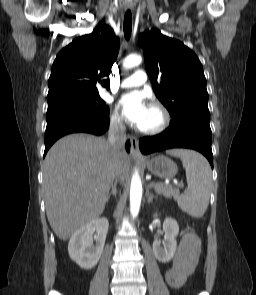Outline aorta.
<instances>
[{
	"mask_svg": "<svg viewBox=\"0 0 256 295\" xmlns=\"http://www.w3.org/2000/svg\"><path fill=\"white\" fill-rule=\"evenodd\" d=\"M142 57L137 54L127 56L123 60V67L130 69L140 65ZM142 199V183L138 171H135L130 186V212L133 218L137 217Z\"/></svg>",
	"mask_w": 256,
	"mask_h": 295,
	"instance_id": "aorta-1",
	"label": "aorta"
}]
</instances>
